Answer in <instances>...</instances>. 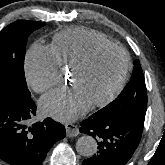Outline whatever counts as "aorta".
Returning <instances> with one entry per match:
<instances>
[{
  "mask_svg": "<svg viewBox=\"0 0 165 165\" xmlns=\"http://www.w3.org/2000/svg\"><path fill=\"white\" fill-rule=\"evenodd\" d=\"M76 151L81 156L91 157L97 151V142L92 136H82L76 142Z\"/></svg>",
  "mask_w": 165,
  "mask_h": 165,
  "instance_id": "1",
  "label": "aorta"
}]
</instances>
